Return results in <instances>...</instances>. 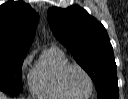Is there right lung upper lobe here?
<instances>
[{"instance_id": "1", "label": "right lung upper lobe", "mask_w": 128, "mask_h": 99, "mask_svg": "<svg viewBox=\"0 0 128 99\" xmlns=\"http://www.w3.org/2000/svg\"><path fill=\"white\" fill-rule=\"evenodd\" d=\"M39 19L29 4L10 1L0 6V51L27 53Z\"/></svg>"}]
</instances>
